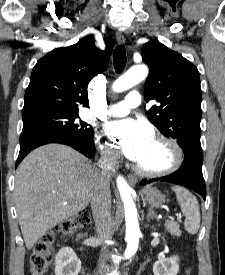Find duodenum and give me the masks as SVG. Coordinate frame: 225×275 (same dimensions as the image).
I'll list each match as a JSON object with an SVG mask.
<instances>
[{
  "label": "duodenum",
  "mask_w": 225,
  "mask_h": 275,
  "mask_svg": "<svg viewBox=\"0 0 225 275\" xmlns=\"http://www.w3.org/2000/svg\"><path fill=\"white\" fill-rule=\"evenodd\" d=\"M85 239V234H80L78 236V243H79V249L81 251H84L85 250V246L83 245V240Z\"/></svg>",
  "instance_id": "410a0bca"
}]
</instances>
